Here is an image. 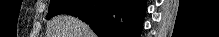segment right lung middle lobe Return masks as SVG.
<instances>
[{
  "instance_id": "dd1d6c3e",
  "label": "right lung middle lobe",
  "mask_w": 219,
  "mask_h": 37,
  "mask_svg": "<svg viewBox=\"0 0 219 37\" xmlns=\"http://www.w3.org/2000/svg\"><path fill=\"white\" fill-rule=\"evenodd\" d=\"M81 1L82 0H51L46 19H51L56 15L64 14L70 7L75 6Z\"/></svg>"
}]
</instances>
